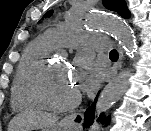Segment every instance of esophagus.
<instances>
[{"mask_svg":"<svg viewBox=\"0 0 151 131\" xmlns=\"http://www.w3.org/2000/svg\"><path fill=\"white\" fill-rule=\"evenodd\" d=\"M118 48H119V62L116 67L117 69H119L121 67L122 59H123V51H122L121 47L118 46ZM83 119H84V117L81 113H74L67 117L68 121H71L72 123H74L78 126L82 125Z\"/></svg>","mask_w":151,"mask_h":131,"instance_id":"1","label":"esophagus"}]
</instances>
